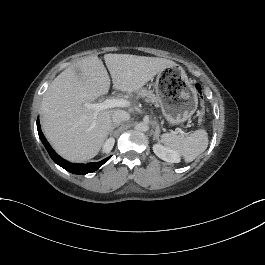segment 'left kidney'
<instances>
[{
    "label": "left kidney",
    "instance_id": "obj_1",
    "mask_svg": "<svg viewBox=\"0 0 265 265\" xmlns=\"http://www.w3.org/2000/svg\"><path fill=\"white\" fill-rule=\"evenodd\" d=\"M154 153L166 162H177L178 157L169 149L163 148L161 145L154 146Z\"/></svg>",
    "mask_w": 265,
    "mask_h": 265
}]
</instances>
